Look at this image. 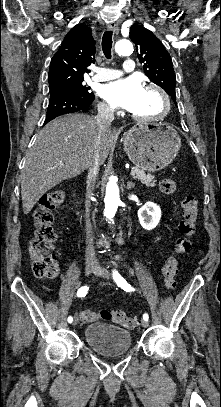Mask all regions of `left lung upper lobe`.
<instances>
[{
    "instance_id": "left-lung-upper-lobe-1",
    "label": "left lung upper lobe",
    "mask_w": 221,
    "mask_h": 407,
    "mask_svg": "<svg viewBox=\"0 0 221 407\" xmlns=\"http://www.w3.org/2000/svg\"><path fill=\"white\" fill-rule=\"evenodd\" d=\"M130 38L136 45L145 75L163 88L176 104V76L171 56L162 42L150 30L140 25L130 27Z\"/></svg>"
}]
</instances>
